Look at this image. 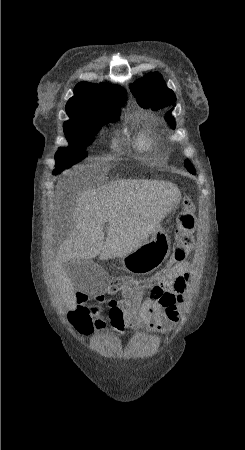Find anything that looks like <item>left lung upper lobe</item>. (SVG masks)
I'll return each mask as SVG.
<instances>
[{
	"label": "left lung upper lobe",
	"instance_id": "1",
	"mask_svg": "<svg viewBox=\"0 0 245 450\" xmlns=\"http://www.w3.org/2000/svg\"><path fill=\"white\" fill-rule=\"evenodd\" d=\"M131 91L137 98L139 105L143 108L158 110L171 106L175 103L176 97L171 89H168L161 74L155 72L145 75L131 86ZM172 111V110H171ZM171 111L165 115L169 125L175 128V119ZM185 167L189 172L195 174V170L189 161H185Z\"/></svg>",
	"mask_w": 245,
	"mask_h": 450
}]
</instances>
